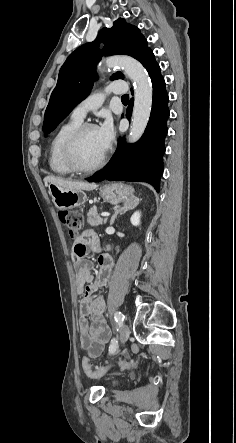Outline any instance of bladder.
Masks as SVG:
<instances>
[{
  "mask_svg": "<svg viewBox=\"0 0 236 443\" xmlns=\"http://www.w3.org/2000/svg\"><path fill=\"white\" fill-rule=\"evenodd\" d=\"M113 384L117 385V384H118V381L113 380Z\"/></svg>",
  "mask_w": 236,
  "mask_h": 443,
  "instance_id": "31cf9c89",
  "label": "bladder"
}]
</instances>
